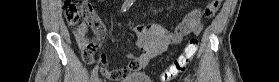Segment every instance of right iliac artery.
I'll list each match as a JSON object with an SVG mask.
<instances>
[{
  "label": "right iliac artery",
  "mask_w": 279,
  "mask_h": 82,
  "mask_svg": "<svg viewBox=\"0 0 279 82\" xmlns=\"http://www.w3.org/2000/svg\"><path fill=\"white\" fill-rule=\"evenodd\" d=\"M134 0H126L124 2V4L122 5L121 11L125 12L126 10H128L132 4H133ZM98 81V66H95L92 71H91V81L90 82H97Z\"/></svg>",
  "instance_id": "obj_1"
}]
</instances>
